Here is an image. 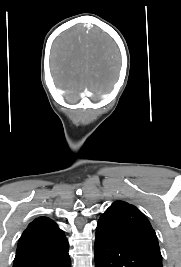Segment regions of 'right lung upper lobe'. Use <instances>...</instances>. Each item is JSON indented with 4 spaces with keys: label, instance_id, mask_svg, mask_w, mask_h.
Wrapping results in <instances>:
<instances>
[{
    "label": "right lung upper lobe",
    "instance_id": "1",
    "mask_svg": "<svg viewBox=\"0 0 181 267\" xmlns=\"http://www.w3.org/2000/svg\"><path fill=\"white\" fill-rule=\"evenodd\" d=\"M63 231L47 217H39L29 224L18 242V254L55 253L68 248Z\"/></svg>",
    "mask_w": 181,
    "mask_h": 267
}]
</instances>
